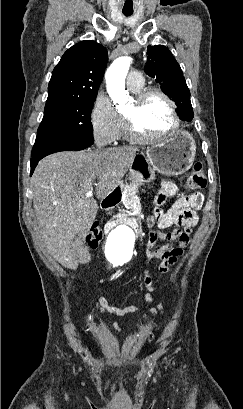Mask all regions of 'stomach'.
Wrapping results in <instances>:
<instances>
[{"instance_id":"stomach-1","label":"stomach","mask_w":243,"mask_h":409,"mask_svg":"<svg viewBox=\"0 0 243 409\" xmlns=\"http://www.w3.org/2000/svg\"><path fill=\"white\" fill-rule=\"evenodd\" d=\"M196 144L186 131H176L161 143L147 148L145 153H138L130 167L132 177L143 176L145 180L155 171L176 176L186 172L193 164Z\"/></svg>"}]
</instances>
